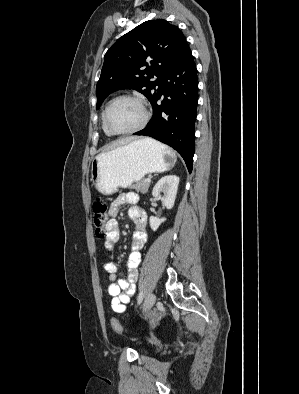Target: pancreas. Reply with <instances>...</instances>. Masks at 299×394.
Masks as SVG:
<instances>
[{
  "label": "pancreas",
  "mask_w": 299,
  "mask_h": 394,
  "mask_svg": "<svg viewBox=\"0 0 299 394\" xmlns=\"http://www.w3.org/2000/svg\"><path fill=\"white\" fill-rule=\"evenodd\" d=\"M148 188H149V183H147L145 179L136 182L131 186V189H135L138 193L140 192L142 194L147 193Z\"/></svg>",
  "instance_id": "pancreas-1"
}]
</instances>
